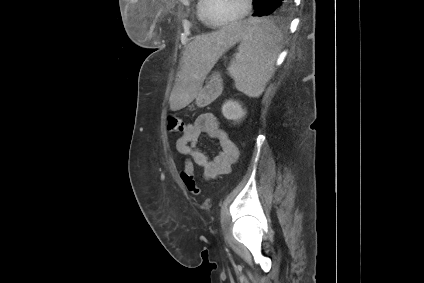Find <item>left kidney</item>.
I'll use <instances>...</instances> for the list:
<instances>
[{"label": "left kidney", "instance_id": "left-kidney-1", "mask_svg": "<svg viewBox=\"0 0 424 283\" xmlns=\"http://www.w3.org/2000/svg\"><path fill=\"white\" fill-rule=\"evenodd\" d=\"M222 114L228 120L239 122L246 115L245 109L237 101L229 100L226 101L222 106Z\"/></svg>", "mask_w": 424, "mask_h": 283}]
</instances>
